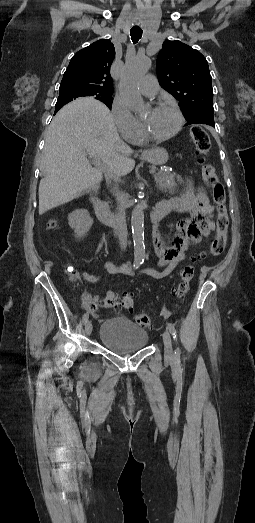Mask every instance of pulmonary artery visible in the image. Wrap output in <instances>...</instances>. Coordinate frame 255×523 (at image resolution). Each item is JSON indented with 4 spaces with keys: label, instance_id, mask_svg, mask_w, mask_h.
I'll return each instance as SVG.
<instances>
[{
    "label": "pulmonary artery",
    "instance_id": "pulmonary-artery-1",
    "mask_svg": "<svg viewBox=\"0 0 255 523\" xmlns=\"http://www.w3.org/2000/svg\"><path fill=\"white\" fill-rule=\"evenodd\" d=\"M140 83V90L144 95L147 96H153L158 92V89H156V80L155 75L153 73H150L148 76H146Z\"/></svg>",
    "mask_w": 255,
    "mask_h": 523
}]
</instances>
